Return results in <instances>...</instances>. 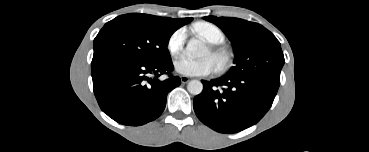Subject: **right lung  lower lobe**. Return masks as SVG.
<instances>
[{"label": "right lung lower lobe", "instance_id": "obj_1", "mask_svg": "<svg viewBox=\"0 0 369 152\" xmlns=\"http://www.w3.org/2000/svg\"><path fill=\"white\" fill-rule=\"evenodd\" d=\"M171 70V58L157 63L108 61L92 68L94 94L102 111L113 120L143 125L161 115L167 94L181 84L178 76L158 79Z\"/></svg>", "mask_w": 369, "mask_h": 152}]
</instances>
